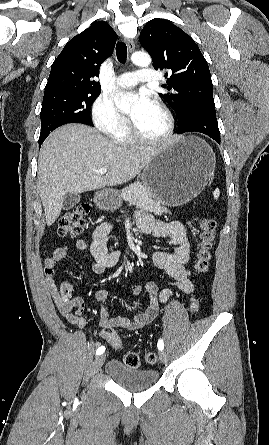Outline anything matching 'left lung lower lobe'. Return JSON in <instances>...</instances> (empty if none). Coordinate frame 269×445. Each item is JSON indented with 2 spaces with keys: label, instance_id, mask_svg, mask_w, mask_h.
Returning <instances> with one entry per match:
<instances>
[{
  "label": "left lung lower lobe",
  "instance_id": "left-lung-lower-lobe-1",
  "mask_svg": "<svg viewBox=\"0 0 269 445\" xmlns=\"http://www.w3.org/2000/svg\"><path fill=\"white\" fill-rule=\"evenodd\" d=\"M200 132L208 135L220 143V132L216 113L204 112L193 115L186 123L178 128L177 133Z\"/></svg>",
  "mask_w": 269,
  "mask_h": 445
}]
</instances>
